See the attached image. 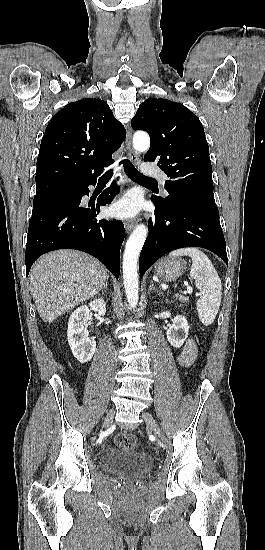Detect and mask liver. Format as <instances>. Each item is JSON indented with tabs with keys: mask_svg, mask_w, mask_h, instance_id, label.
Wrapping results in <instances>:
<instances>
[{
	"mask_svg": "<svg viewBox=\"0 0 265 550\" xmlns=\"http://www.w3.org/2000/svg\"><path fill=\"white\" fill-rule=\"evenodd\" d=\"M107 280L106 267L94 257L75 250H57L34 263L30 289L40 317L51 323L94 297Z\"/></svg>",
	"mask_w": 265,
	"mask_h": 550,
	"instance_id": "obj_1",
	"label": "liver"
}]
</instances>
